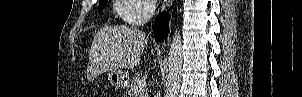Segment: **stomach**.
<instances>
[{
	"mask_svg": "<svg viewBox=\"0 0 302 97\" xmlns=\"http://www.w3.org/2000/svg\"><path fill=\"white\" fill-rule=\"evenodd\" d=\"M108 80L115 87L125 88L129 81V74L122 69H113L108 73Z\"/></svg>",
	"mask_w": 302,
	"mask_h": 97,
	"instance_id": "stomach-1",
	"label": "stomach"
}]
</instances>
